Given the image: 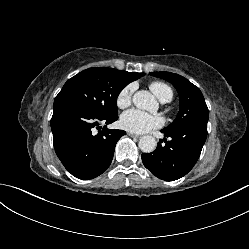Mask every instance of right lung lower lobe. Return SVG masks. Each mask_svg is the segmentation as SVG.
Masks as SVG:
<instances>
[{
	"label": "right lung lower lobe",
	"instance_id": "right-lung-lower-lobe-1",
	"mask_svg": "<svg viewBox=\"0 0 249 249\" xmlns=\"http://www.w3.org/2000/svg\"><path fill=\"white\" fill-rule=\"evenodd\" d=\"M51 119L53 144L65 168L76 178L88 180L102 174L110 166L117 141L126 134L106 125L118 115H95L69 100H55ZM100 130L94 133V128Z\"/></svg>",
	"mask_w": 249,
	"mask_h": 249
}]
</instances>
